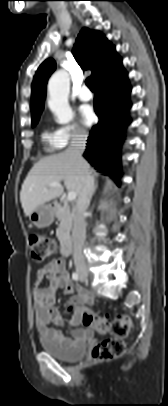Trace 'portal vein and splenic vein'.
<instances>
[{
    "instance_id": "1",
    "label": "portal vein and splenic vein",
    "mask_w": 168,
    "mask_h": 406,
    "mask_svg": "<svg viewBox=\"0 0 168 406\" xmlns=\"http://www.w3.org/2000/svg\"><path fill=\"white\" fill-rule=\"evenodd\" d=\"M48 187H51V188H62V185H61L60 182H52V183H50V184L48 185ZM76 196H77V195H76L75 192H68L67 200H68V201H73V200L76 199Z\"/></svg>"
}]
</instances>
